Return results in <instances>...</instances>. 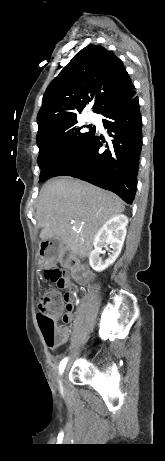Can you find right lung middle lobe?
Wrapping results in <instances>:
<instances>
[{
    "label": "right lung middle lobe",
    "instance_id": "obj_1",
    "mask_svg": "<svg viewBox=\"0 0 165 461\" xmlns=\"http://www.w3.org/2000/svg\"><path fill=\"white\" fill-rule=\"evenodd\" d=\"M77 118L66 121L47 131L37 139L39 147L38 164L41 169L39 182L53 177L90 139L95 127L84 132L77 125Z\"/></svg>",
    "mask_w": 165,
    "mask_h": 461
}]
</instances>
